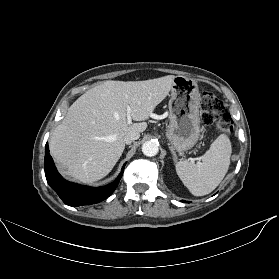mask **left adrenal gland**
<instances>
[{
  "label": "left adrenal gland",
  "instance_id": "1",
  "mask_svg": "<svg viewBox=\"0 0 279 279\" xmlns=\"http://www.w3.org/2000/svg\"><path fill=\"white\" fill-rule=\"evenodd\" d=\"M171 152H172L174 161L176 162L177 161V155H176L175 151L171 150Z\"/></svg>",
  "mask_w": 279,
  "mask_h": 279
}]
</instances>
